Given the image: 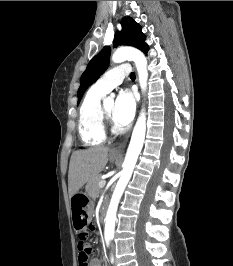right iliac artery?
I'll return each mask as SVG.
<instances>
[{
	"mask_svg": "<svg viewBox=\"0 0 233 266\" xmlns=\"http://www.w3.org/2000/svg\"><path fill=\"white\" fill-rule=\"evenodd\" d=\"M106 243H107V246L109 245V240L108 239H106Z\"/></svg>",
	"mask_w": 233,
	"mask_h": 266,
	"instance_id": "1",
	"label": "right iliac artery"
}]
</instances>
